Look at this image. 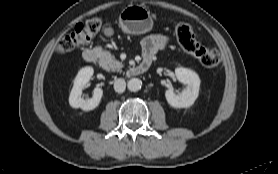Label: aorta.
I'll return each mask as SVG.
<instances>
[{
    "label": "aorta",
    "mask_w": 278,
    "mask_h": 174,
    "mask_svg": "<svg viewBox=\"0 0 278 174\" xmlns=\"http://www.w3.org/2000/svg\"><path fill=\"white\" fill-rule=\"evenodd\" d=\"M128 89L132 92H137L141 89L142 87V82L138 78H132L128 81Z\"/></svg>",
    "instance_id": "aorta-1"
}]
</instances>
